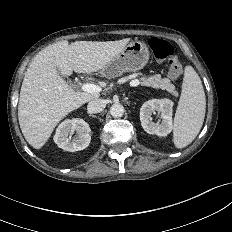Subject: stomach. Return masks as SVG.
<instances>
[{
	"label": "stomach",
	"instance_id": "obj_1",
	"mask_svg": "<svg viewBox=\"0 0 232 232\" xmlns=\"http://www.w3.org/2000/svg\"><path fill=\"white\" fill-rule=\"evenodd\" d=\"M148 59L149 51L146 44L141 41H132L101 69V74L108 78H114L124 72H135L142 69Z\"/></svg>",
	"mask_w": 232,
	"mask_h": 232
}]
</instances>
